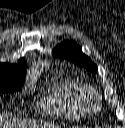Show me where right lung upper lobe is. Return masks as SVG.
<instances>
[{
    "instance_id": "1",
    "label": "right lung upper lobe",
    "mask_w": 125,
    "mask_h": 128,
    "mask_svg": "<svg viewBox=\"0 0 125 128\" xmlns=\"http://www.w3.org/2000/svg\"><path fill=\"white\" fill-rule=\"evenodd\" d=\"M0 70H8L14 72L25 73L26 63L24 59H21L18 64H8V63H0Z\"/></svg>"
}]
</instances>
